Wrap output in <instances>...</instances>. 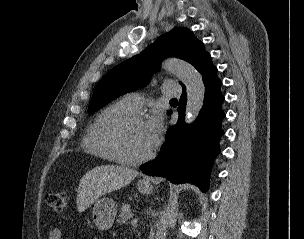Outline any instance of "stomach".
<instances>
[{
    "label": "stomach",
    "instance_id": "0dacf381",
    "mask_svg": "<svg viewBox=\"0 0 304 239\" xmlns=\"http://www.w3.org/2000/svg\"><path fill=\"white\" fill-rule=\"evenodd\" d=\"M138 190L143 194H150L153 190L148 181L138 182ZM117 203L110 198H100L94 202L92 209L93 222L99 230H108L112 227L116 214Z\"/></svg>",
    "mask_w": 304,
    "mask_h": 239
}]
</instances>
